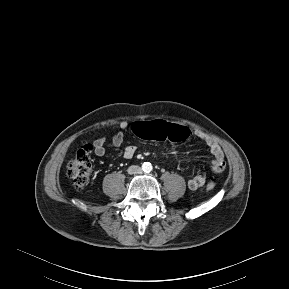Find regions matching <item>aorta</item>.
I'll list each match as a JSON object with an SVG mask.
<instances>
[{
	"label": "aorta",
	"instance_id": "762f6f07",
	"mask_svg": "<svg viewBox=\"0 0 289 289\" xmlns=\"http://www.w3.org/2000/svg\"><path fill=\"white\" fill-rule=\"evenodd\" d=\"M144 170H145V171H151V170H152V165H151L150 163L146 164V165L144 166Z\"/></svg>",
	"mask_w": 289,
	"mask_h": 289
}]
</instances>
